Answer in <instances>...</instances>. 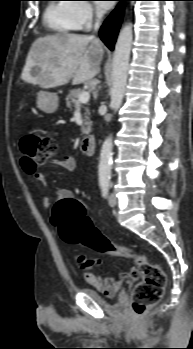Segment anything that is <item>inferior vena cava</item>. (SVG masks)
<instances>
[{"label": "inferior vena cava", "mask_w": 193, "mask_h": 349, "mask_svg": "<svg viewBox=\"0 0 193 349\" xmlns=\"http://www.w3.org/2000/svg\"><path fill=\"white\" fill-rule=\"evenodd\" d=\"M103 15V12L101 10H97L96 11V23H95V26H94V30L96 31L98 28H99V25H100V18L101 16ZM94 37V36H92Z\"/></svg>", "instance_id": "602c4592"}]
</instances>
